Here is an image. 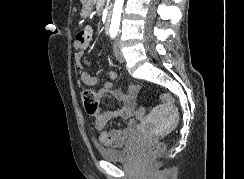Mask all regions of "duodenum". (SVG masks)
Here are the masks:
<instances>
[{"label": "duodenum", "instance_id": "obj_1", "mask_svg": "<svg viewBox=\"0 0 244 179\" xmlns=\"http://www.w3.org/2000/svg\"><path fill=\"white\" fill-rule=\"evenodd\" d=\"M104 31L108 32L109 28H110V13H106L104 16Z\"/></svg>", "mask_w": 244, "mask_h": 179}]
</instances>
